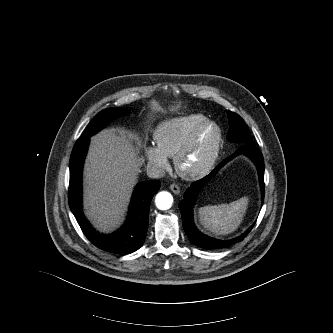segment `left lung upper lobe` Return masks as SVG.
<instances>
[{
    "instance_id": "left-lung-upper-lobe-1",
    "label": "left lung upper lobe",
    "mask_w": 333,
    "mask_h": 333,
    "mask_svg": "<svg viewBox=\"0 0 333 333\" xmlns=\"http://www.w3.org/2000/svg\"><path fill=\"white\" fill-rule=\"evenodd\" d=\"M230 129L228 131L227 139L231 142H240L244 145L253 143L249 129L244 120L237 114L227 111Z\"/></svg>"
}]
</instances>
